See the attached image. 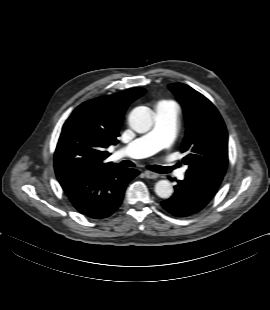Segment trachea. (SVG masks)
Listing matches in <instances>:
<instances>
[{
    "label": "trachea",
    "instance_id": "1",
    "mask_svg": "<svg viewBox=\"0 0 270 310\" xmlns=\"http://www.w3.org/2000/svg\"><path fill=\"white\" fill-rule=\"evenodd\" d=\"M121 165L127 166V167H134L135 164L128 160H123L120 163ZM178 165L172 166V167H164L159 165H150L147 167V169L157 172V173H170L174 168H177Z\"/></svg>",
    "mask_w": 270,
    "mask_h": 310
}]
</instances>
